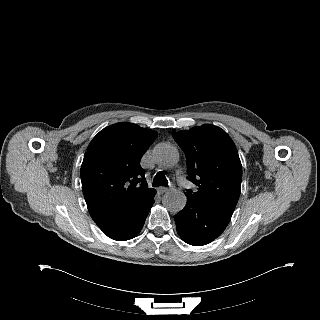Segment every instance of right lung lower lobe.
<instances>
[{
	"label": "right lung lower lobe",
	"instance_id": "right-lung-lower-lobe-1",
	"mask_svg": "<svg viewBox=\"0 0 320 320\" xmlns=\"http://www.w3.org/2000/svg\"><path fill=\"white\" fill-rule=\"evenodd\" d=\"M154 204V197L144 206L120 217L96 223L111 239L125 241L134 238L142 229Z\"/></svg>",
	"mask_w": 320,
	"mask_h": 320
}]
</instances>
